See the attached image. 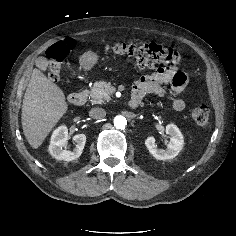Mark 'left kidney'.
<instances>
[{"label": "left kidney", "mask_w": 236, "mask_h": 236, "mask_svg": "<svg viewBox=\"0 0 236 236\" xmlns=\"http://www.w3.org/2000/svg\"><path fill=\"white\" fill-rule=\"evenodd\" d=\"M166 134L170 136V142L167 149H158L154 137H148L145 140V146L149 152L158 160H169L175 158L184 147V139L179 128L174 124L166 126Z\"/></svg>", "instance_id": "left-kidney-1"}]
</instances>
